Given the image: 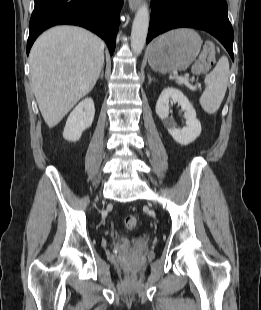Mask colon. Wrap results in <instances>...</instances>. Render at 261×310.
<instances>
[{
	"label": "colon",
	"instance_id": "colon-1",
	"mask_svg": "<svg viewBox=\"0 0 261 310\" xmlns=\"http://www.w3.org/2000/svg\"><path fill=\"white\" fill-rule=\"evenodd\" d=\"M216 59V51L212 44L204 47L198 59L196 60L193 71L197 74L208 71L214 64ZM138 220L134 215H127L124 219V225L127 229L132 230L136 228Z\"/></svg>",
	"mask_w": 261,
	"mask_h": 310
}]
</instances>
